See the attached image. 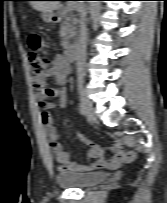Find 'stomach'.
I'll return each mask as SVG.
<instances>
[{
    "mask_svg": "<svg viewBox=\"0 0 167 203\" xmlns=\"http://www.w3.org/2000/svg\"><path fill=\"white\" fill-rule=\"evenodd\" d=\"M55 17L56 15L52 11L42 13V18L46 23L53 22L55 20Z\"/></svg>",
    "mask_w": 167,
    "mask_h": 203,
    "instance_id": "1",
    "label": "stomach"
}]
</instances>
